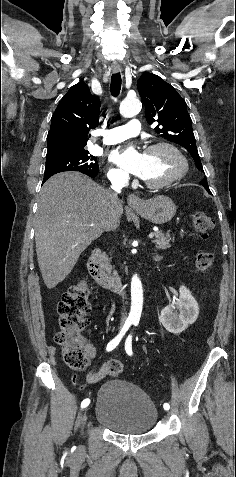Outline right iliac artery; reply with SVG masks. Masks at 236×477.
Instances as JSON below:
<instances>
[{"instance_id":"obj_1","label":"right iliac artery","mask_w":236,"mask_h":477,"mask_svg":"<svg viewBox=\"0 0 236 477\" xmlns=\"http://www.w3.org/2000/svg\"><path fill=\"white\" fill-rule=\"evenodd\" d=\"M132 323H133L132 321H126L125 322V324L123 325L120 333L107 344L106 350L108 352L112 351L114 348H116V346L120 343L121 339L123 338V336L125 335V333L129 329V327L132 325ZM89 404H90V399L86 398L82 401L81 408L82 409L86 408Z\"/></svg>"}]
</instances>
